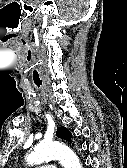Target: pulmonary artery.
Returning a JSON list of instances; mask_svg holds the SVG:
<instances>
[{"label":"pulmonary artery","mask_w":127,"mask_h":168,"mask_svg":"<svg viewBox=\"0 0 127 168\" xmlns=\"http://www.w3.org/2000/svg\"><path fill=\"white\" fill-rule=\"evenodd\" d=\"M35 168H54L52 165H39Z\"/></svg>","instance_id":"pulmonary-artery-1"}]
</instances>
